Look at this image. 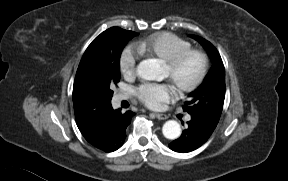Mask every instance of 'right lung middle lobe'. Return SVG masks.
<instances>
[{
	"label": "right lung middle lobe",
	"mask_w": 288,
	"mask_h": 181,
	"mask_svg": "<svg viewBox=\"0 0 288 181\" xmlns=\"http://www.w3.org/2000/svg\"><path fill=\"white\" fill-rule=\"evenodd\" d=\"M134 36L121 28H113L90 44L80 62V81L108 102H111L113 95L111 86L120 79L121 52Z\"/></svg>",
	"instance_id": "1"
}]
</instances>
